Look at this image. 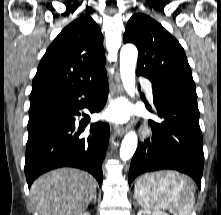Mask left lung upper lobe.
<instances>
[{
    "label": "left lung upper lobe",
    "instance_id": "left-lung-upper-lobe-1",
    "mask_svg": "<svg viewBox=\"0 0 221 215\" xmlns=\"http://www.w3.org/2000/svg\"><path fill=\"white\" fill-rule=\"evenodd\" d=\"M123 41L138 48L137 74L148 78L153 87L181 91L197 99L184 49L161 24L148 15L134 14Z\"/></svg>",
    "mask_w": 221,
    "mask_h": 215
}]
</instances>
